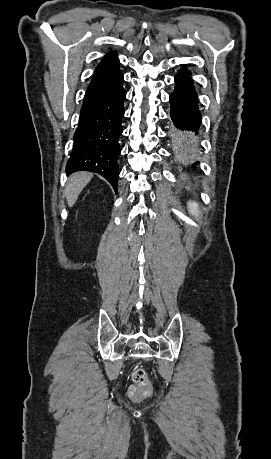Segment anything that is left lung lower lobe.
I'll return each mask as SVG.
<instances>
[{
  "mask_svg": "<svg viewBox=\"0 0 271 459\" xmlns=\"http://www.w3.org/2000/svg\"><path fill=\"white\" fill-rule=\"evenodd\" d=\"M191 76L192 73L187 69V65H183L174 78L176 87L170 95L171 119L181 130H198L201 124L198 96Z\"/></svg>",
  "mask_w": 271,
  "mask_h": 459,
  "instance_id": "1",
  "label": "left lung lower lobe"
}]
</instances>
